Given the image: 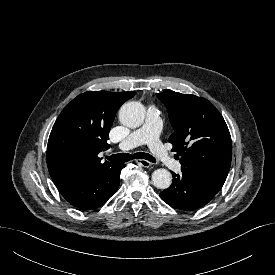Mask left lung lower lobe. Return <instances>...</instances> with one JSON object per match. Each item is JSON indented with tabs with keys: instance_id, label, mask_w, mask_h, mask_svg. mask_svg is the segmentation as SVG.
Segmentation results:
<instances>
[{
	"instance_id": "0a47b994",
	"label": "left lung lower lobe",
	"mask_w": 275,
	"mask_h": 275,
	"mask_svg": "<svg viewBox=\"0 0 275 275\" xmlns=\"http://www.w3.org/2000/svg\"><path fill=\"white\" fill-rule=\"evenodd\" d=\"M181 171L180 175L172 173L171 186L160 193L161 199L176 209L191 211L206 205L224 184L203 175Z\"/></svg>"
}]
</instances>
